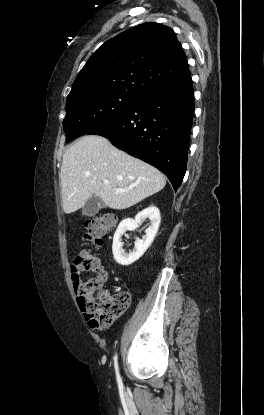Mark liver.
<instances>
[{"instance_id": "liver-1", "label": "liver", "mask_w": 264, "mask_h": 415, "mask_svg": "<svg viewBox=\"0 0 264 415\" xmlns=\"http://www.w3.org/2000/svg\"><path fill=\"white\" fill-rule=\"evenodd\" d=\"M60 180L66 214L82 208L94 195L112 209H126L166 185L158 169L117 149L98 135H86L66 150ZM105 180L108 185H104ZM116 189L124 192L117 193Z\"/></svg>"}]
</instances>
